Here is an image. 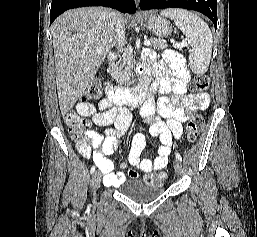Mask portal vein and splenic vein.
I'll return each mask as SVG.
<instances>
[{
    "instance_id": "18ae733b",
    "label": "portal vein and splenic vein",
    "mask_w": 257,
    "mask_h": 237,
    "mask_svg": "<svg viewBox=\"0 0 257 237\" xmlns=\"http://www.w3.org/2000/svg\"><path fill=\"white\" fill-rule=\"evenodd\" d=\"M150 44H151L150 41H148V40H145V41H144V45H145V46H149ZM187 45H188V44H187L186 41H182V42H180V43L174 44L173 46H174L175 48H183V47H186Z\"/></svg>"
}]
</instances>
